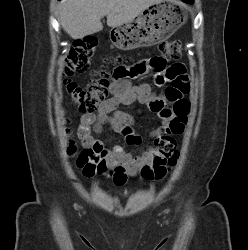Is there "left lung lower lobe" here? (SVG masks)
I'll use <instances>...</instances> for the list:
<instances>
[{
    "label": "left lung lower lobe",
    "mask_w": 248,
    "mask_h": 250,
    "mask_svg": "<svg viewBox=\"0 0 248 250\" xmlns=\"http://www.w3.org/2000/svg\"><path fill=\"white\" fill-rule=\"evenodd\" d=\"M183 2H185V3H192V0H182Z\"/></svg>",
    "instance_id": "0a47b994"
}]
</instances>
